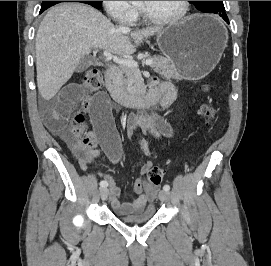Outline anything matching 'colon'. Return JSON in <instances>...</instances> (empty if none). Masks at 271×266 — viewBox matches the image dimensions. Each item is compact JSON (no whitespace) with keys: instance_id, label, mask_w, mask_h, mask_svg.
Wrapping results in <instances>:
<instances>
[{"instance_id":"1","label":"colon","mask_w":271,"mask_h":266,"mask_svg":"<svg viewBox=\"0 0 271 266\" xmlns=\"http://www.w3.org/2000/svg\"><path fill=\"white\" fill-rule=\"evenodd\" d=\"M102 75L97 68L89 69L83 79V88L87 93H95L102 86ZM201 114L208 120L212 121L215 117V109L210 103H204L201 106ZM84 116L82 113L75 118V123L78 125L74 130L76 142L74 148L77 150H87L93 146L94 140L92 137L83 132L79 125L83 122ZM164 176V170L158 166H151L146 173L147 181L151 185H158L161 183Z\"/></svg>"}]
</instances>
